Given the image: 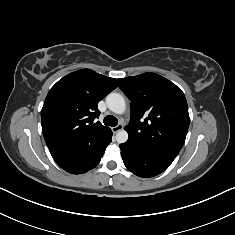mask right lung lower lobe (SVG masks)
I'll return each mask as SVG.
<instances>
[{
    "mask_svg": "<svg viewBox=\"0 0 235 235\" xmlns=\"http://www.w3.org/2000/svg\"><path fill=\"white\" fill-rule=\"evenodd\" d=\"M112 138V131L99 143L86 146L77 150L74 154L54 159L65 171L72 174H82L96 167Z\"/></svg>",
    "mask_w": 235,
    "mask_h": 235,
    "instance_id": "98d812e1",
    "label": "right lung lower lobe"
}]
</instances>
